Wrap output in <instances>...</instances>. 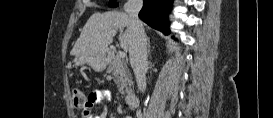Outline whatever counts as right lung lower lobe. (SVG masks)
I'll return each mask as SVG.
<instances>
[{"mask_svg": "<svg viewBox=\"0 0 273 118\" xmlns=\"http://www.w3.org/2000/svg\"><path fill=\"white\" fill-rule=\"evenodd\" d=\"M173 0H144L139 18L151 27L169 34L168 14Z\"/></svg>", "mask_w": 273, "mask_h": 118, "instance_id": "98d812e1", "label": "right lung lower lobe"}]
</instances>
